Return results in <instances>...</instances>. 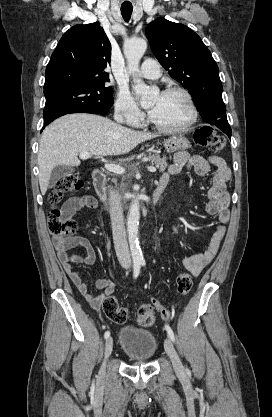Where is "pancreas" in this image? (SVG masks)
I'll return each mask as SVG.
<instances>
[{
  "instance_id": "pancreas-1",
  "label": "pancreas",
  "mask_w": 272,
  "mask_h": 417,
  "mask_svg": "<svg viewBox=\"0 0 272 417\" xmlns=\"http://www.w3.org/2000/svg\"><path fill=\"white\" fill-rule=\"evenodd\" d=\"M149 161L152 164L156 165V168L163 172L167 168V162L165 157H160L159 155H151L148 156Z\"/></svg>"
}]
</instances>
